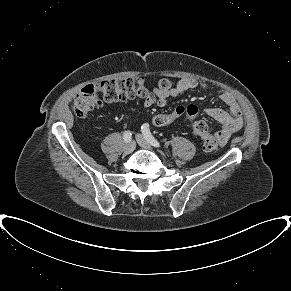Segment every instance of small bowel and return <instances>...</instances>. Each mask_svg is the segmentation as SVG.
Masks as SVG:
<instances>
[{
    "label": "small bowel",
    "instance_id": "1",
    "mask_svg": "<svg viewBox=\"0 0 291 291\" xmlns=\"http://www.w3.org/2000/svg\"><path fill=\"white\" fill-rule=\"evenodd\" d=\"M192 89L208 90L209 86L190 78L182 79L173 86L170 80L162 79L159 81L157 88L148 94L140 105L145 108L152 105L164 107L171 98L178 97ZM217 95L228 106L229 112L220 108H207L205 112L221 125V129L216 133V136L221 144H225L232 134L243 127V117L238 103L230 92L221 90L218 91Z\"/></svg>",
    "mask_w": 291,
    "mask_h": 291
}]
</instances>
